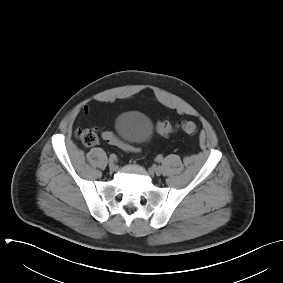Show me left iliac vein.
<instances>
[{
    "label": "left iliac vein",
    "mask_w": 283,
    "mask_h": 283,
    "mask_svg": "<svg viewBox=\"0 0 283 283\" xmlns=\"http://www.w3.org/2000/svg\"><path fill=\"white\" fill-rule=\"evenodd\" d=\"M162 167H160V166H154V167H152V172L154 173V174H156L157 176H160L161 174H162Z\"/></svg>",
    "instance_id": "obj_1"
}]
</instances>
